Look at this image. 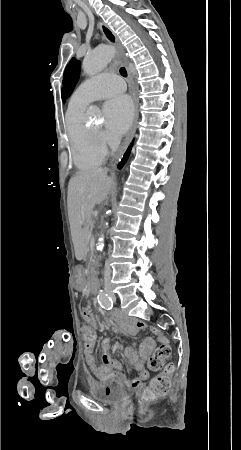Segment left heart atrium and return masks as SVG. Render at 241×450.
I'll use <instances>...</instances> for the list:
<instances>
[{
    "instance_id": "1",
    "label": "left heart atrium",
    "mask_w": 241,
    "mask_h": 450,
    "mask_svg": "<svg viewBox=\"0 0 241 450\" xmlns=\"http://www.w3.org/2000/svg\"><path fill=\"white\" fill-rule=\"evenodd\" d=\"M108 114L107 127L115 136L123 135L132 124L134 106L129 96L119 95L113 102L105 106Z\"/></svg>"
}]
</instances>
